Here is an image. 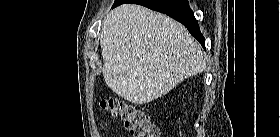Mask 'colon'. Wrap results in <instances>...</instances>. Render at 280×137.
I'll list each match as a JSON object with an SVG mask.
<instances>
[{"instance_id": "colon-1", "label": "colon", "mask_w": 280, "mask_h": 137, "mask_svg": "<svg viewBox=\"0 0 280 137\" xmlns=\"http://www.w3.org/2000/svg\"><path fill=\"white\" fill-rule=\"evenodd\" d=\"M100 106L109 116H120L132 137L159 136L158 126L146 118L139 106L114 97L101 100Z\"/></svg>"}]
</instances>
